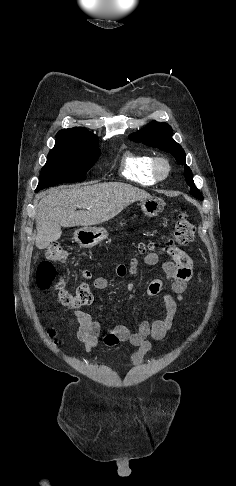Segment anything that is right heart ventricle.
I'll use <instances>...</instances> for the list:
<instances>
[{"label":"right heart ventricle","instance_id":"1","mask_svg":"<svg viewBox=\"0 0 236 486\" xmlns=\"http://www.w3.org/2000/svg\"><path fill=\"white\" fill-rule=\"evenodd\" d=\"M153 158L148 153H127L122 161V175L140 185L155 184L157 180L151 172Z\"/></svg>","mask_w":236,"mask_h":486}]
</instances>
